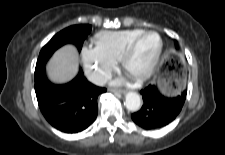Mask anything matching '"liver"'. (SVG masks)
Returning <instances> with one entry per match:
<instances>
[{
	"label": "liver",
	"mask_w": 225,
	"mask_h": 155,
	"mask_svg": "<svg viewBox=\"0 0 225 155\" xmlns=\"http://www.w3.org/2000/svg\"><path fill=\"white\" fill-rule=\"evenodd\" d=\"M79 70V56L73 45H66L57 50L46 65L49 79L55 83L72 80Z\"/></svg>",
	"instance_id": "1"
}]
</instances>
